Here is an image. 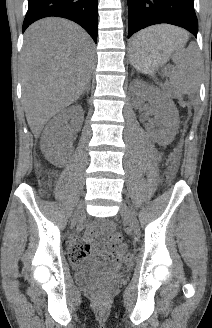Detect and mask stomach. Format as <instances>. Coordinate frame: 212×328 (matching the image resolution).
I'll return each mask as SVG.
<instances>
[{
  "label": "stomach",
  "mask_w": 212,
  "mask_h": 328,
  "mask_svg": "<svg viewBox=\"0 0 212 328\" xmlns=\"http://www.w3.org/2000/svg\"><path fill=\"white\" fill-rule=\"evenodd\" d=\"M134 39L132 40V42ZM177 41H166L162 47H152L149 49L135 50L130 48V60L132 65L140 72L153 74L159 66L163 65L174 51Z\"/></svg>",
  "instance_id": "obj_1"
}]
</instances>
